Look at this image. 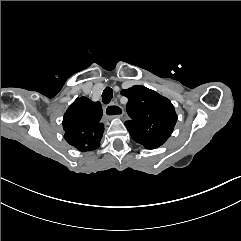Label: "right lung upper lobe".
Segmentation results:
<instances>
[{
	"label": "right lung upper lobe",
	"mask_w": 241,
	"mask_h": 241,
	"mask_svg": "<svg viewBox=\"0 0 241 241\" xmlns=\"http://www.w3.org/2000/svg\"><path fill=\"white\" fill-rule=\"evenodd\" d=\"M102 107L86 97L77 98L63 117L64 138L82 152L93 151L100 146L104 125L100 122Z\"/></svg>",
	"instance_id": "obj_1"
}]
</instances>
